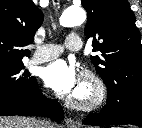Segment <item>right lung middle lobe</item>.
<instances>
[{
    "label": "right lung middle lobe",
    "mask_w": 142,
    "mask_h": 128,
    "mask_svg": "<svg viewBox=\"0 0 142 128\" xmlns=\"http://www.w3.org/2000/svg\"><path fill=\"white\" fill-rule=\"evenodd\" d=\"M24 65H0V96L22 95L30 92L36 85L34 77L24 71Z\"/></svg>",
    "instance_id": "dd1d6c3e"
}]
</instances>
